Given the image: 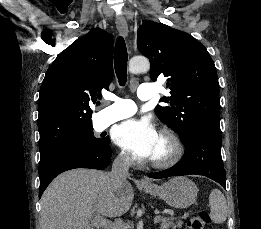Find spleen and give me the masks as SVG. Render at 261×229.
Here are the masks:
<instances>
[{"mask_svg":"<svg viewBox=\"0 0 261 229\" xmlns=\"http://www.w3.org/2000/svg\"><path fill=\"white\" fill-rule=\"evenodd\" d=\"M211 207L210 219L213 223H224L228 215L226 199L218 189H214L209 197Z\"/></svg>","mask_w":261,"mask_h":229,"instance_id":"1","label":"spleen"}]
</instances>
